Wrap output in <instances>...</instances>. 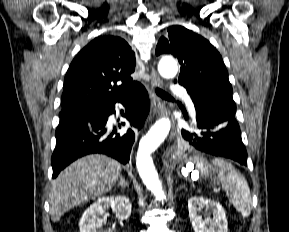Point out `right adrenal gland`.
<instances>
[{
  "mask_svg": "<svg viewBox=\"0 0 289 232\" xmlns=\"http://www.w3.org/2000/svg\"><path fill=\"white\" fill-rule=\"evenodd\" d=\"M118 186L124 188V187H128V183L125 181V179L123 178V176H120V181L118 183Z\"/></svg>",
  "mask_w": 289,
  "mask_h": 232,
  "instance_id": "obj_1",
  "label": "right adrenal gland"
}]
</instances>
